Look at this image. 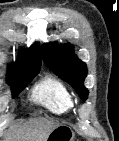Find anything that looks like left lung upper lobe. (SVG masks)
I'll list each match as a JSON object with an SVG mask.
<instances>
[{
    "mask_svg": "<svg viewBox=\"0 0 119 141\" xmlns=\"http://www.w3.org/2000/svg\"><path fill=\"white\" fill-rule=\"evenodd\" d=\"M42 52L46 66L61 79L68 82L85 101L88 97V90L83 82L87 75V67L75 56L73 46L46 43L42 46Z\"/></svg>",
    "mask_w": 119,
    "mask_h": 141,
    "instance_id": "obj_1",
    "label": "left lung upper lobe"
}]
</instances>
